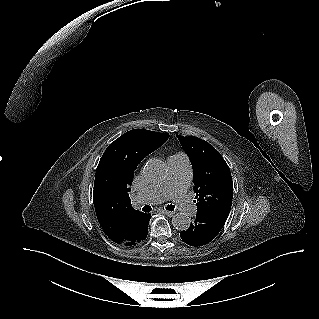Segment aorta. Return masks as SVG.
<instances>
[{
    "mask_svg": "<svg viewBox=\"0 0 319 319\" xmlns=\"http://www.w3.org/2000/svg\"><path fill=\"white\" fill-rule=\"evenodd\" d=\"M144 175L147 179L157 182L165 178L167 174L166 164L159 159H151L144 166ZM191 220L185 213H176L172 217V225L177 230H187Z\"/></svg>",
    "mask_w": 319,
    "mask_h": 319,
    "instance_id": "aorta-1",
    "label": "aorta"
}]
</instances>
